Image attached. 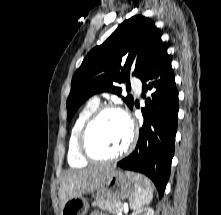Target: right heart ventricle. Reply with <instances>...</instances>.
Returning <instances> with one entry per match:
<instances>
[{
  "label": "right heart ventricle",
  "mask_w": 221,
  "mask_h": 215,
  "mask_svg": "<svg viewBox=\"0 0 221 215\" xmlns=\"http://www.w3.org/2000/svg\"><path fill=\"white\" fill-rule=\"evenodd\" d=\"M99 106V101L96 98L88 100L78 113L69 136L67 160L72 167H83L88 164V161L84 159L77 147V139L79 132L90 114Z\"/></svg>",
  "instance_id": "right-heart-ventricle-1"
}]
</instances>
